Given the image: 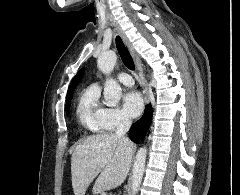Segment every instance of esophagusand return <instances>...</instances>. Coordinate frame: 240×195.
Segmentation results:
<instances>
[{"instance_id":"obj_1","label":"esophagus","mask_w":240,"mask_h":195,"mask_svg":"<svg viewBox=\"0 0 240 195\" xmlns=\"http://www.w3.org/2000/svg\"><path fill=\"white\" fill-rule=\"evenodd\" d=\"M112 26H114L115 30L119 33V35L122 37L124 43L128 47V50L130 51V53L133 57V60L135 62V65L137 67V70L139 72V77L144 82V75H143L142 66H141V62H140L138 55L136 54L134 48L132 47L131 43L129 42L128 38L126 37V35H125L124 31L121 29V27L119 25H112ZM145 95H146V99L148 102L149 93H148V89H147L146 85H145Z\"/></svg>"}]
</instances>
